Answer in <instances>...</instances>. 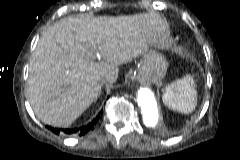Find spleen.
I'll return each mask as SVG.
<instances>
[{"mask_svg": "<svg viewBox=\"0 0 240 160\" xmlns=\"http://www.w3.org/2000/svg\"><path fill=\"white\" fill-rule=\"evenodd\" d=\"M163 102L169 108L181 113H191L197 104V93L193 77L186 75L166 87Z\"/></svg>", "mask_w": 240, "mask_h": 160, "instance_id": "obj_1", "label": "spleen"}]
</instances>
